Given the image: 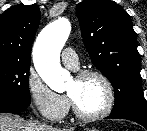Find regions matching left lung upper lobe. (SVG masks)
<instances>
[{
  "mask_svg": "<svg viewBox=\"0 0 147 131\" xmlns=\"http://www.w3.org/2000/svg\"><path fill=\"white\" fill-rule=\"evenodd\" d=\"M76 14L92 63L113 84L115 105L111 114L147 115L141 58L129 14L111 0H84L77 5Z\"/></svg>",
  "mask_w": 147,
  "mask_h": 131,
  "instance_id": "5c2ea615",
  "label": "left lung upper lobe"
}]
</instances>
